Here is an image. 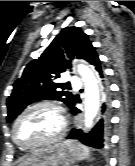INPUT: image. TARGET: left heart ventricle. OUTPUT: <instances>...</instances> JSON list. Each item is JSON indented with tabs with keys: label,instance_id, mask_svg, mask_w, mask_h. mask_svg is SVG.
I'll return each mask as SVG.
<instances>
[{
	"label": "left heart ventricle",
	"instance_id": "obj_1",
	"mask_svg": "<svg viewBox=\"0 0 135 166\" xmlns=\"http://www.w3.org/2000/svg\"><path fill=\"white\" fill-rule=\"evenodd\" d=\"M61 128L59 113L49 107L29 111L19 121L16 137L23 144H33L54 137Z\"/></svg>",
	"mask_w": 135,
	"mask_h": 166
}]
</instances>
